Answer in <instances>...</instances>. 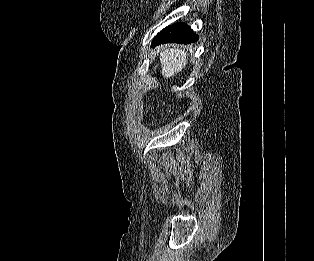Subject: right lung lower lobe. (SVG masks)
<instances>
[{
	"label": "right lung lower lobe",
	"instance_id": "98d812e1",
	"mask_svg": "<svg viewBox=\"0 0 314 261\" xmlns=\"http://www.w3.org/2000/svg\"><path fill=\"white\" fill-rule=\"evenodd\" d=\"M198 36L185 23H176L163 29L153 40L152 46L163 43H194Z\"/></svg>",
	"mask_w": 314,
	"mask_h": 261
}]
</instances>
